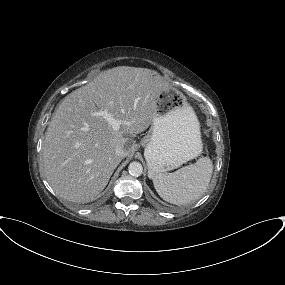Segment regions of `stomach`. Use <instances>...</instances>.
Here are the masks:
<instances>
[{"label":"stomach","mask_w":285,"mask_h":285,"mask_svg":"<svg viewBox=\"0 0 285 285\" xmlns=\"http://www.w3.org/2000/svg\"><path fill=\"white\" fill-rule=\"evenodd\" d=\"M151 78L161 79L155 71ZM155 105L156 116L142 141L150 178L180 167L203 150L199 122L180 91L162 83Z\"/></svg>","instance_id":"0dacf381"}]
</instances>
